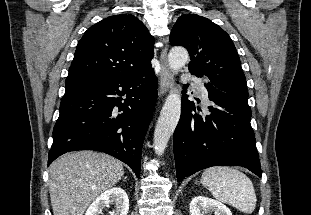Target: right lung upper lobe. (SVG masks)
<instances>
[{"label": "right lung upper lobe", "instance_id": "cb5924a9", "mask_svg": "<svg viewBox=\"0 0 311 215\" xmlns=\"http://www.w3.org/2000/svg\"><path fill=\"white\" fill-rule=\"evenodd\" d=\"M154 37L130 14L92 25L77 44L66 82L92 77L134 78L153 71Z\"/></svg>", "mask_w": 311, "mask_h": 215}]
</instances>
